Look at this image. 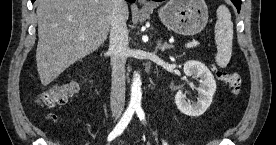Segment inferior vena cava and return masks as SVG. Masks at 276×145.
I'll use <instances>...</instances> for the list:
<instances>
[{
    "label": "inferior vena cava",
    "mask_w": 276,
    "mask_h": 145,
    "mask_svg": "<svg viewBox=\"0 0 276 145\" xmlns=\"http://www.w3.org/2000/svg\"><path fill=\"white\" fill-rule=\"evenodd\" d=\"M126 10L125 0H115L109 44L112 66L110 105L114 116H120L125 106V64L129 52Z\"/></svg>",
    "instance_id": "602c4592"
}]
</instances>
